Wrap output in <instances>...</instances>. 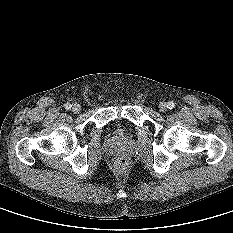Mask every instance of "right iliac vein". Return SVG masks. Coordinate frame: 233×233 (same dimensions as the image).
I'll list each match as a JSON object with an SVG mask.
<instances>
[{"instance_id": "obj_1", "label": "right iliac vein", "mask_w": 233, "mask_h": 233, "mask_svg": "<svg viewBox=\"0 0 233 233\" xmlns=\"http://www.w3.org/2000/svg\"><path fill=\"white\" fill-rule=\"evenodd\" d=\"M81 110V106L77 103H75L73 106H72V112L74 113H79Z\"/></svg>"}]
</instances>
